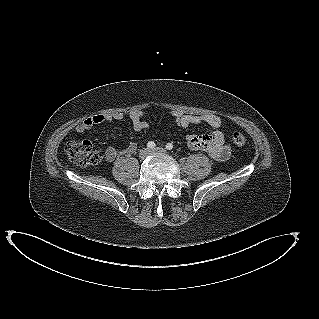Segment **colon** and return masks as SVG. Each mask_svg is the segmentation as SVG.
Instances as JSON below:
<instances>
[{
	"instance_id": "obj_1",
	"label": "colon",
	"mask_w": 319,
	"mask_h": 319,
	"mask_svg": "<svg viewBox=\"0 0 319 319\" xmlns=\"http://www.w3.org/2000/svg\"><path fill=\"white\" fill-rule=\"evenodd\" d=\"M231 138L238 147H244L247 143L246 137L238 131H232ZM64 150L69 160L79 166H91L99 161L98 155L87 140H70Z\"/></svg>"
}]
</instances>
